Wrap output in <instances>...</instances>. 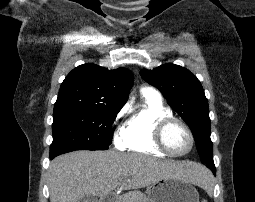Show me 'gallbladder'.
Returning <instances> with one entry per match:
<instances>
[{"instance_id":"bac80fb5","label":"gallbladder","mask_w":255,"mask_h":202,"mask_svg":"<svg viewBox=\"0 0 255 202\" xmlns=\"http://www.w3.org/2000/svg\"><path fill=\"white\" fill-rule=\"evenodd\" d=\"M79 202H98V198L94 195H84Z\"/></svg>"}]
</instances>
